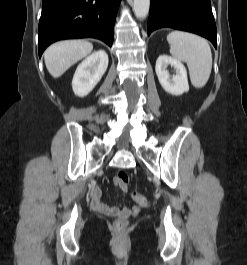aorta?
<instances>
[{"label":"aorta","mask_w":247,"mask_h":265,"mask_svg":"<svg viewBox=\"0 0 247 265\" xmlns=\"http://www.w3.org/2000/svg\"><path fill=\"white\" fill-rule=\"evenodd\" d=\"M150 0H134L133 10L138 19H145L148 15Z\"/></svg>","instance_id":"762f6f07"}]
</instances>
